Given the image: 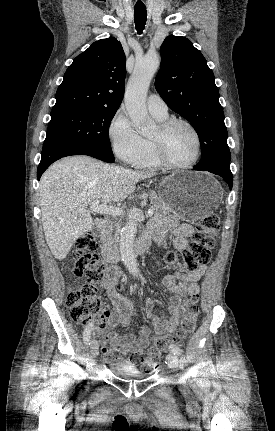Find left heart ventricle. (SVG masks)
I'll return each instance as SVG.
<instances>
[{"mask_svg": "<svg viewBox=\"0 0 275 431\" xmlns=\"http://www.w3.org/2000/svg\"><path fill=\"white\" fill-rule=\"evenodd\" d=\"M157 136V131L153 138ZM166 153L168 158L176 164L190 162L196 152V141L192 132L184 125H175L166 138Z\"/></svg>", "mask_w": 275, "mask_h": 431, "instance_id": "b2bd125f", "label": "left heart ventricle"}]
</instances>
